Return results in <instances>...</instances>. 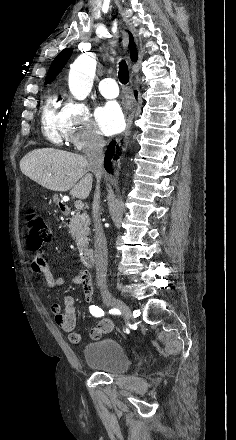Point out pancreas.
<instances>
[{
	"label": "pancreas",
	"mask_w": 236,
	"mask_h": 440,
	"mask_svg": "<svg viewBox=\"0 0 236 440\" xmlns=\"http://www.w3.org/2000/svg\"><path fill=\"white\" fill-rule=\"evenodd\" d=\"M90 219L86 213L80 214L76 211L73 217L70 219L68 229L69 233L77 243L79 252L87 251L88 249V238L90 233Z\"/></svg>",
	"instance_id": "1"
}]
</instances>
